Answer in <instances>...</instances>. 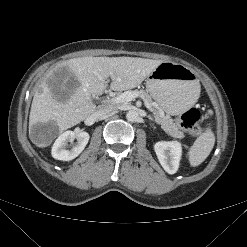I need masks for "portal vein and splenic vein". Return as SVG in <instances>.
Instances as JSON below:
<instances>
[{"mask_svg":"<svg viewBox=\"0 0 247 247\" xmlns=\"http://www.w3.org/2000/svg\"><path fill=\"white\" fill-rule=\"evenodd\" d=\"M138 96L139 95L133 91H126V92L122 93L121 95L111 99V101L114 103L129 102ZM144 104L148 110L153 111L151 108V105L146 100H144Z\"/></svg>","mask_w":247,"mask_h":247,"instance_id":"portal-vein-and-splenic-vein-1","label":"portal vein and splenic vein"}]
</instances>
